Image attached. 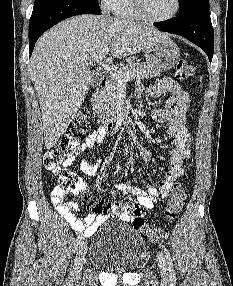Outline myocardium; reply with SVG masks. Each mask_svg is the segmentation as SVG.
<instances>
[{
	"instance_id": "obj_1",
	"label": "myocardium",
	"mask_w": 233,
	"mask_h": 286,
	"mask_svg": "<svg viewBox=\"0 0 233 286\" xmlns=\"http://www.w3.org/2000/svg\"><path fill=\"white\" fill-rule=\"evenodd\" d=\"M130 1H131V4L134 10L137 12V14L143 20L151 22V23H163V22L170 21L177 16L181 8L180 0H175V8L170 15L163 17V18H153L146 13L142 0H130Z\"/></svg>"
}]
</instances>
